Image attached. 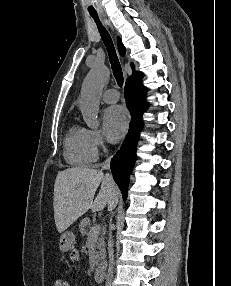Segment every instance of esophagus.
<instances>
[{
	"label": "esophagus",
	"mask_w": 231,
	"mask_h": 286,
	"mask_svg": "<svg viewBox=\"0 0 231 286\" xmlns=\"http://www.w3.org/2000/svg\"><path fill=\"white\" fill-rule=\"evenodd\" d=\"M103 21H104V23H105L106 26H108L109 28L112 29L111 23H110V21H109L108 19L104 18Z\"/></svg>",
	"instance_id": "34e87169"
}]
</instances>
